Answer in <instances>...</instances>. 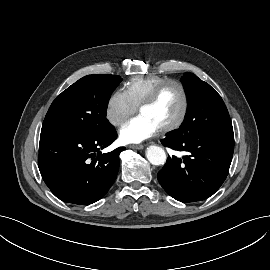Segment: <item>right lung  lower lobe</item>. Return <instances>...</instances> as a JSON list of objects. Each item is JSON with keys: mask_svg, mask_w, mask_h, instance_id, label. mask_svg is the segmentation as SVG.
<instances>
[{"mask_svg": "<svg viewBox=\"0 0 270 270\" xmlns=\"http://www.w3.org/2000/svg\"><path fill=\"white\" fill-rule=\"evenodd\" d=\"M117 138L113 126L98 134L43 132L38 167L52 193L68 203L88 205L100 200L114 183L124 147L102 154Z\"/></svg>", "mask_w": 270, "mask_h": 270, "instance_id": "obj_1", "label": "right lung lower lobe"}]
</instances>
